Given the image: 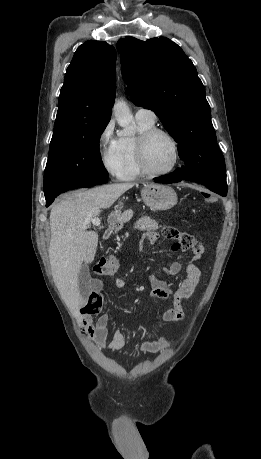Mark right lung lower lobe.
Masks as SVG:
<instances>
[{
  "label": "right lung lower lobe",
  "instance_id": "right-lung-lower-lobe-1",
  "mask_svg": "<svg viewBox=\"0 0 261 459\" xmlns=\"http://www.w3.org/2000/svg\"><path fill=\"white\" fill-rule=\"evenodd\" d=\"M106 182H107V179H100V180H96V181L83 182V183H79V184L70 186V187L64 189L63 191L53 195V196L47 197L46 198V206L51 205V203L54 201V199L58 195H60L61 193L65 192L67 190L76 189V188H82V187H91V186H95V185H99V184H104Z\"/></svg>",
  "mask_w": 261,
  "mask_h": 459
}]
</instances>
